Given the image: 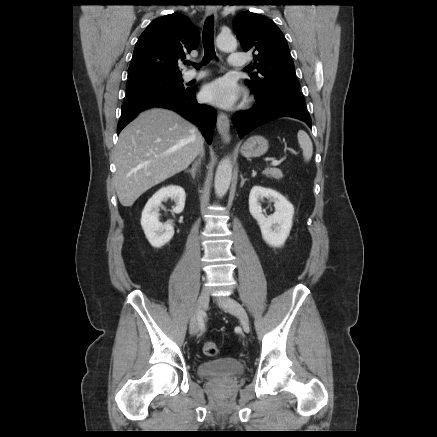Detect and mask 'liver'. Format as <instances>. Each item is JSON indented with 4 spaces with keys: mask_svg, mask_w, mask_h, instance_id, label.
Wrapping results in <instances>:
<instances>
[{
    "mask_svg": "<svg viewBox=\"0 0 437 437\" xmlns=\"http://www.w3.org/2000/svg\"><path fill=\"white\" fill-rule=\"evenodd\" d=\"M198 129L162 108L141 112L120 133L114 150V184L122 206L185 170L203 149Z\"/></svg>",
    "mask_w": 437,
    "mask_h": 437,
    "instance_id": "obj_1",
    "label": "liver"
}]
</instances>
